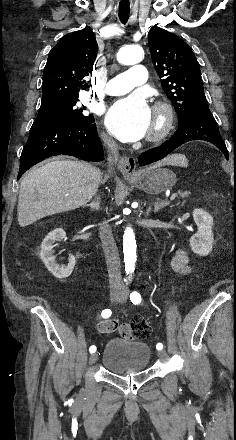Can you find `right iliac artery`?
I'll use <instances>...</instances> for the list:
<instances>
[{
  "label": "right iliac artery",
  "mask_w": 236,
  "mask_h": 440,
  "mask_svg": "<svg viewBox=\"0 0 236 440\" xmlns=\"http://www.w3.org/2000/svg\"><path fill=\"white\" fill-rule=\"evenodd\" d=\"M111 314H112V312H111L110 309H105V310L102 311L101 316H102L103 318H109V317L111 316ZM95 351H96V346L92 345V346L89 348V352H90V353H94Z\"/></svg>",
  "instance_id": "obj_1"
}]
</instances>
